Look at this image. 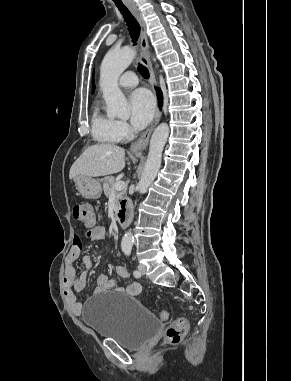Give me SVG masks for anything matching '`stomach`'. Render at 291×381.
Returning <instances> with one entry per match:
<instances>
[{
    "instance_id": "0dacf381",
    "label": "stomach",
    "mask_w": 291,
    "mask_h": 381,
    "mask_svg": "<svg viewBox=\"0 0 291 381\" xmlns=\"http://www.w3.org/2000/svg\"><path fill=\"white\" fill-rule=\"evenodd\" d=\"M76 188L84 198L97 199L102 194L100 182L92 177L78 175L74 178Z\"/></svg>"
}]
</instances>
